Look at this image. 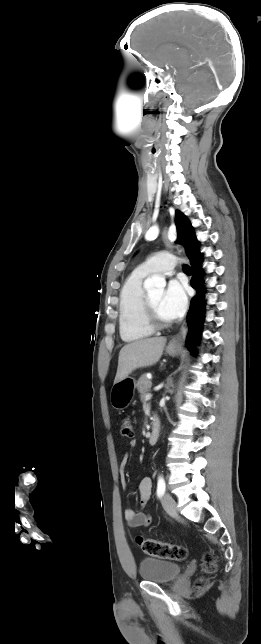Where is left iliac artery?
Instances as JSON below:
<instances>
[{"mask_svg":"<svg viewBox=\"0 0 261 644\" xmlns=\"http://www.w3.org/2000/svg\"><path fill=\"white\" fill-rule=\"evenodd\" d=\"M166 484L164 478L160 475L157 481V496L161 497L165 493Z\"/></svg>","mask_w":261,"mask_h":644,"instance_id":"44dca946","label":"left iliac artery"}]
</instances>
